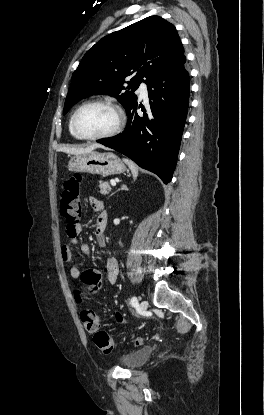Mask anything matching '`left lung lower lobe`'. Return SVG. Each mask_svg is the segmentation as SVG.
<instances>
[{"label":"left lung lower lobe","instance_id":"1","mask_svg":"<svg viewBox=\"0 0 264 415\" xmlns=\"http://www.w3.org/2000/svg\"><path fill=\"white\" fill-rule=\"evenodd\" d=\"M150 108L127 110L128 124L119 135L99 143L126 155L140 167L157 174L167 184L176 167L189 105V73L183 56L148 84Z\"/></svg>","mask_w":264,"mask_h":415}]
</instances>
